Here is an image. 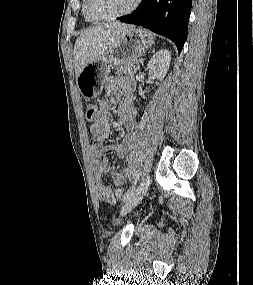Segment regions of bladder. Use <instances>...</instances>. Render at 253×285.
Wrapping results in <instances>:
<instances>
[{"label":"bladder","mask_w":253,"mask_h":285,"mask_svg":"<svg viewBox=\"0 0 253 285\" xmlns=\"http://www.w3.org/2000/svg\"><path fill=\"white\" fill-rule=\"evenodd\" d=\"M124 220L122 218H120L118 215L113 216L112 218V223L115 225H119L121 223H123Z\"/></svg>","instance_id":"31cf9c89"}]
</instances>
